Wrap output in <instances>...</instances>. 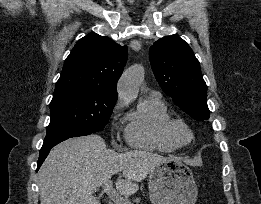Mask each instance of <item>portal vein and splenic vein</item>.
I'll return each instance as SVG.
<instances>
[{
    "label": "portal vein and splenic vein",
    "instance_id": "portal-vein-and-splenic-vein-1",
    "mask_svg": "<svg viewBox=\"0 0 261 204\" xmlns=\"http://www.w3.org/2000/svg\"><path fill=\"white\" fill-rule=\"evenodd\" d=\"M103 191L114 201L115 204H132L130 201L121 197L119 193L113 188L111 180L106 181L103 185Z\"/></svg>",
    "mask_w": 261,
    "mask_h": 204
}]
</instances>
